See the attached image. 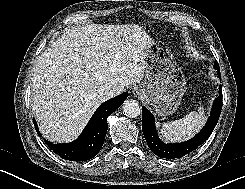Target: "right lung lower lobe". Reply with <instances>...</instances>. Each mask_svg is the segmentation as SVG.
Segmentation results:
<instances>
[{"mask_svg": "<svg viewBox=\"0 0 245 189\" xmlns=\"http://www.w3.org/2000/svg\"><path fill=\"white\" fill-rule=\"evenodd\" d=\"M128 93H122L104 102L93 114L81 135L68 144H53L44 140L48 147L61 158L70 161H86L95 157L101 150L107 132V121L111 115L126 100ZM38 135L41 133L33 121Z\"/></svg>", "mask_w": 245, "mask_h": 189, "instance_id": "obj_1", "label": "right lung lower lobe"}]
</instances>
